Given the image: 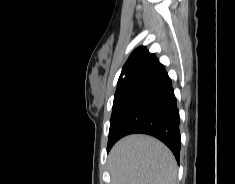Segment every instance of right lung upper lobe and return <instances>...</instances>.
I'll list each match as a JSON object with an SVG mask.
<instances>
[{
  "mask_svg": "<svg viewBox=\"0 0 235 184\" xmlns=\"http://www.w3.org/2000/svg\"><path fill=\"white\" fill-rule=\"evenodd\" d=\"M159 64L156 56L149 53L145 46L138 47L123 66L116 91L127 90Z\"/></svg>",
  "mask_w": 235,
  "mask_h": 184,
  "instance_id": "right-lung-upper-lobe-1",
  "label": "right lung upper lobe"
}]
</instances>
